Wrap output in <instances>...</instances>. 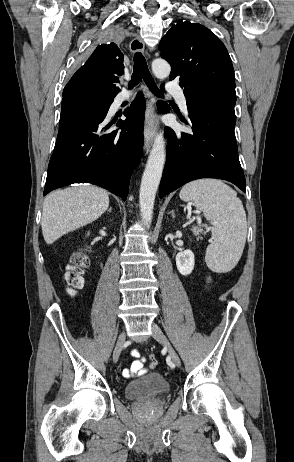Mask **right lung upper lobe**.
I'll return each instance as SVG.
<instances>
[{
  "label": "right lung upper lobe",
  "instance_id": "1",
  "mask_svg": "<svg viewBox=\"0 0 294 462\" xmlns=\"http://www.w3.org/2000/svg\"><path fill=\"white\" fill-rule=\"evenodd\" d=\"M124 73L123 54L115 43L98 45L63 91V99L76 93L116 96L118 77Z\"/></svg>",
  "mask_w": 294,
  "mask_h": 462
}]
</instances>
